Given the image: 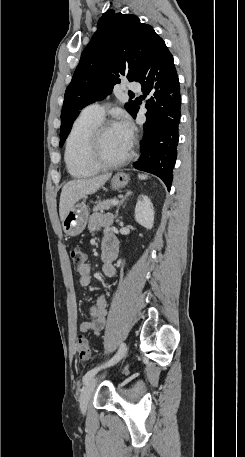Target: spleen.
I'll list each match as a JSON object with an SVG mask.
<instances>
[{"label":"spleen","instance_id":"1","mask_svg":"<svg viewBox=\"0 0 245 457\" xmlns=\"http://www.w3.org/2000/svg\"><path fill=\"white\" fill-rule=\"evenodd\" d=\"M139 178H147V174H138Z\"/></svg>","mask_w":245,"mask_h":457}]
</instances>
